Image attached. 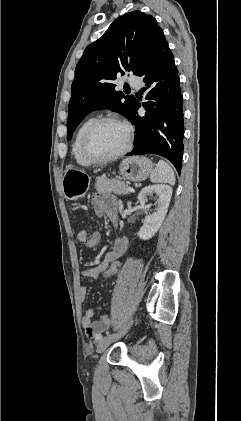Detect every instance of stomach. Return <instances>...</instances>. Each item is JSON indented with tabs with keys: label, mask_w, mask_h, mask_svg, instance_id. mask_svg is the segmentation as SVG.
<instances>
[{
	"label": "stomach",
	"mask_w": 241,
	"mask_h": 421,
	"mask_svg": "<svg viewBox=\"0 0 241 421\" xmlns=\"http://www.w3.org/2000/svg\"><path fill=\"white\" fill-rule=\"evenodd\" d=\"M123 178L138 182L147 179L153 171V163L144 156L125 158L119 165ZM91 178L84 170L69 168L62 179L63 194L68 200L82 198L89 189Z\"/></svg>",
	"instance_id": "1"
}]
</instances>
